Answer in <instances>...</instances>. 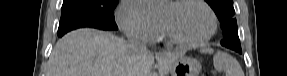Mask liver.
<instances>
[{
	"mask_svg": "<svg viewBox=\"0 0 287 76\" xmlns=\"http://www.w3.org/2000/svg\"><path fill=\"white\" fill-rule=\"evenodd\" d=\"M183 53L136 52L110 32L77 29L59 39L49 59L47 76H166Z\"/></svg>",
	"mask_w": 287,
	"mask_h": 76,
	"instance_id": "obj_1",
	"label": "liver"
}]
</instances>
